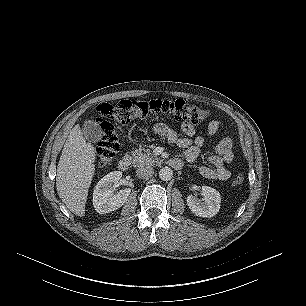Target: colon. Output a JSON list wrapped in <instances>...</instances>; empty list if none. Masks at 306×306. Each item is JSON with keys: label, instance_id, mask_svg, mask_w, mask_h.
Listing matches in <instances>:
<instances>
[{"label": "colon", "instance_id": "colon-1", "mask_svg": "<svg viewBox=\"0 0 306 306\" xmlns=\"http://www.w3.org/2000/svg\"><path fill=\"white\" fill-rule=\"evenodd\" d=\"M150 115H170L176 120L191 125L198 124L208 117V111L184 100H122L115 104L101 103L97 107V123L101 132V140L97 149L96 167L105 169L116 153L120 143L116 132L117 124H128L132 120L142 119ZM244 176L238 174L233 185L243 183Z\"/></svg>", "mask_w": 306, "mask_h": 306}]
</instances>
